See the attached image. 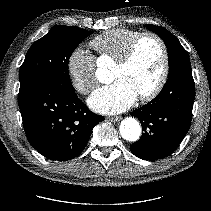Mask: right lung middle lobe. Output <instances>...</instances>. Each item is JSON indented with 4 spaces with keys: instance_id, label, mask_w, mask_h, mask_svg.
I'll list each match as a JSON object with an SVG mask.
<instances>
[{
    "instance_id": "right-lung-middle-lobe-1",
    "label": "right lung middle lobe",
    "mask_w": 211,
    "mask_h": 211,
    "mask_svg": "<svg viewBox=\"0 0 211 211\" xmlns=\"http://www.w3.org/2000/svg\"><path fill=\"white\" fill-rule=\"evenodd\" d=\"M93 31L60 25L32 44L20 68V89L41 80L72 88L68 62L75 48Z\"/></svg>"
}]
</instances>
